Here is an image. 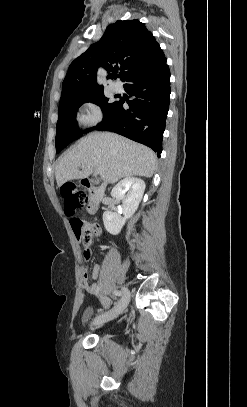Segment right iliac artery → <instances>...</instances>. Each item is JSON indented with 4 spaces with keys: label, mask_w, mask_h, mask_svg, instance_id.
Here are the masks:
<instances>
[{
    "label": "right iliac artery",
    "mask_w": 247,
    "mask_h": 407,
    "mask_svg": "<svg viewBox=\"0 0 247 407\" xmlns=\"http://www.w3.org/2000/svg\"><path fill=\"white\" fill-rule=\"evenodd\" d=\"M113 294L116 295V296H121L122 292L120 290H114Z\"/></svg>",
    "instance_id": "82829eb1"
}]
</instances>
